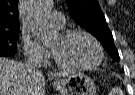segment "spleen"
Listing matches in <instances>:
<instances>
[{
	"label": "spleen",
	"instance_id": "spleen-1",
	"mask_svg": "<svg viewBox=\"0 0 135 95\" xmlns=\"http://www.w3.org/2000/svg\"><path fill=\"white\" fill-rule=\"evenodd\" d=\"M109 95H124L120 88H114L110 91Z\"/></svg>",
	"mask_w": 135,
	"mask_h": 95
}]
</instances>
